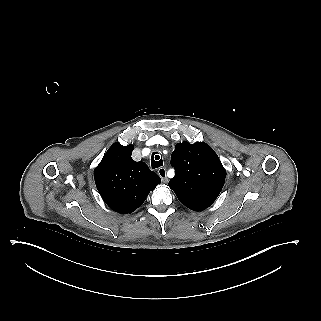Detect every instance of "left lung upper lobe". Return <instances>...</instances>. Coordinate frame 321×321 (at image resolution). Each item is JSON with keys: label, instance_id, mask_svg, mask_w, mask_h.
<instances>
[{"label": "left lung upper lobe", "instance_id": "1", "mask_svg": "<svg viewBox=\"0 0 321 321\" xmlns=\"http://www.w3.org/2000/svg\"><path fill=\"white\" fill-rule=\"evenodd\" d=\"M175 176L169 187L177 197L214 194L223 188L226 171L214 150L203 142L178 143L171 156Z\"/></svg>", "mask_w": 321, "mask_h": 321}]
</instances>
